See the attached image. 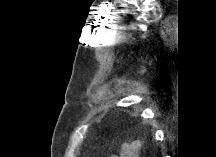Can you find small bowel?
Wrapping results in <instances>:
<instances>
[{"instance_id":"c3829d8e","label":"small bowel","mask_w":216,"mask_h":157,"mask_svg":"<svg viewBox=\"0 0 216 157\" xmlns=\"http://www.w3.org/2000/svg\"><path fill=\"white\" fill-rule=\"evenodd\" d=\"M141 150V143L134 140L129 143H122L119 148L120 157H138Z\"/></svg>"}]
</instances>
